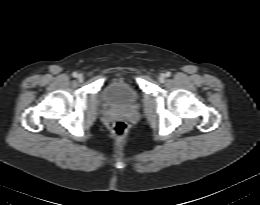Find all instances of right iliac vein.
Instances as JSON below:
<instances>
[{"instance_id": "63e3f726", "label": "right iliac vein", "mask_w": 260, "mask_h": 205, "mask_svg": "<svg viewBox=\"0 0 260 205\" xmlns=\"http://www.w3.org/2000/svg\"><path fill=\"white\" fill-rule=\"evenodd\" d=\"M83 75L82 74H79L78 76H77V79L81 82V81H83Z\"/></svg>"}]
</instances>
